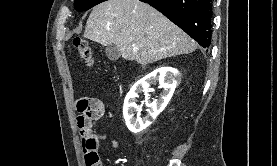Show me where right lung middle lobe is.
<instances>
[{
  "instance_id": "1",
  "label": "right lung middle lobe",
  "mask_w": 277,
  "mask_h": 166,
  "mask_svg": "<svg viewBox=\"0 0 277 166\" xmlns=\"http://www.w3.org/2000/svg\"><path fill=\"white\" fill-rule=\"evenodd\" d=\"M104 1L106 0H76L74 8L76 11H86Z\"/></svg>"
}]
</instances>
